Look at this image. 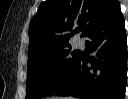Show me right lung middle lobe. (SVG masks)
I'll use <instances>...</instances> for the list:
<instances>
[{
  "instance_id": "dd1d6c3e",
  "label": "right lung middle lobe",
  "mask_w": 128,
  "mask_h": 99,
  "mask_svg": "<svg viewBox=\"0 0 128 99\" xmlns=\"http://www.w3.org/2000/svg\"><path fill=\"white\" fill-rule=\"evenodd\" d=\"M70 45L28 58L26 99H37L54 93L70 76L80 53Z\"/></svg>"
}]
</instances>
